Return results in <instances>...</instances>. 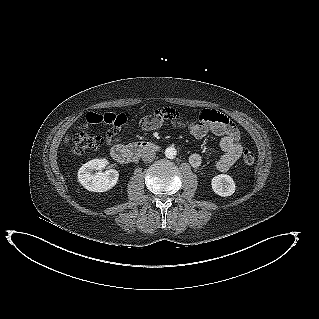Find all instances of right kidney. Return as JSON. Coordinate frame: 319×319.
Here are the masks:
<instances>
[{
	"mask_svg": "<svg viewBox=\"0 0 319 319\" xmlns=\"http://www.w3.org/2000/svg\"><path fill=\"white\" fill-rule=\"evenodd\" d=\"M106 159H93L83 164L78 171V181L80 184L92 192H105L113 188L119 178L118 171L108 169L105 172L100 170L108 166ZM95 170H99L98 172Z\"/></svg>",
	"mask_w": 319,
	"mask_h": 319,
	"instance_id": "obj_1",
	"label": "right kidney"
}]
</instances>
